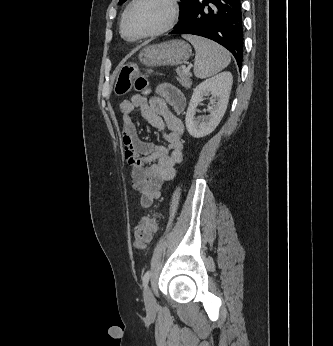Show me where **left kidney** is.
<instances>
[{"label":"left kidney","instance_id":"1","mask_svg":"<svg viewBox=\"0 0 333 346\" xmlns=\"http://www.w3.org/2000/svg\"><path fill=\"white\" fill-rule=\"evenodd\" d=\"M233 83L231 72L225 71L206 79L193 91L185 118L186 128L194 138H202L212 133L220 123L227 109ZM211 93L212 105L208 107L209 115L204 122L194 120L198 104L203 96Z\"/></svg>","mask_w":333,"mask_h":346}]
</instances>
